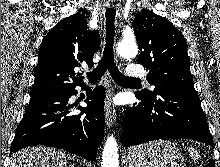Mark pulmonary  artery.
<instances>
[{"label":"pulmonary artery","mask_w":220,"mask_h":167,"mask_svg":"<svg viewBox=\"0 0 220 167\" xmlns=\"http://www.w3.org/2000/svg\"><path fill=\"white\" fill-rule=\"evenodd\" d=\"M128 77H144L146 75V70L142 65L139 64H131L127 68Z\"/></svg>","instance_id":"obj_1"}]
</instances>
